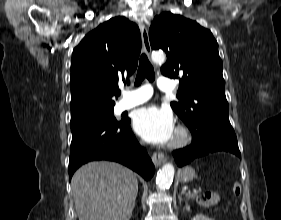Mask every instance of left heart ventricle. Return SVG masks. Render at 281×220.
I'll return each instance as SVG.
<instances>
[{
  "instance_id": "b2bd125f",
  "label": "left heart ventricle",
  "mask_w": 281,
  "mask_h": 220,
  "mask_svg": "<svg viewBox=\"0 0 281 220\" xmlns=\"http://www.w3.org/2000/svg\"><path fill=\"white\" fill-rule=\"evenodd\" d=\"M174 138H175V133H174V135H173V138H172V140H173ZM172 140H171V141H172Z\"/></svg>"
}]
</instances>
